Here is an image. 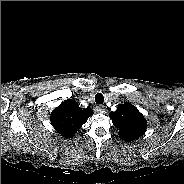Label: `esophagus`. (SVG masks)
<instances>
[{
	"mask_svg": "<svg viewBox=\"0 0 184 184\" xmlns=\"http://www.w3.org/2000/svg\"><path fill=\"white\" fill-rule=\"evenodd\" d=\"M104 106L103 105H98L97 107H96V112L97 113H104Z\"/></svg>",
	"mask_w": 184,
	"mask_h": 184,
	"instance_id": "esophagus-1",
	"label": "esophagus"
}]
</instances>
